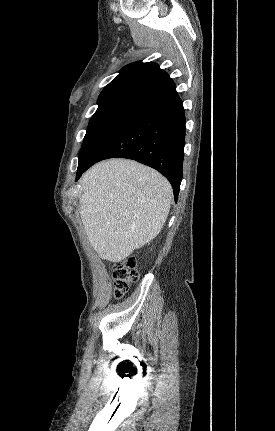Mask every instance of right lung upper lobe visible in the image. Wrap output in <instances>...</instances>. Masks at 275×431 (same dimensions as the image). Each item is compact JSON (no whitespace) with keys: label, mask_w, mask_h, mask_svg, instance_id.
Masks as SVG:
<instances>
[{"label":"right lung upper lobe","mask_w":275,"mask_h":431,"mask_svg":"<svg viewBox=\"0 0 275 431\" xmlns=\"http://www.w3.org/2000/svg\"><path fill=\"white\" fill-rule=\"evenodd\" d=\"M176 88L169 75L154 62H134L120 70L99 95L95 112L134 110Z\"/></svg>","instance_id":"cb5924a9"}]
</instances>
